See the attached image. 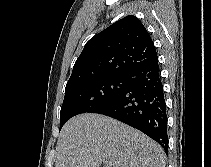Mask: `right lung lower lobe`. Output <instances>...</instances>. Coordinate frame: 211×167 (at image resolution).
Masks as SVG:
<instances>
[{"instance_id": "obj_1", "label": "right lung lower lobe", "mask_w": 211, "mask_h": 167, "mask_svg": "<svg viewBox=\"0 0 211 167\" xmlns=\"http://www.w3.org/2000/svg\"><path fill=\"white\" fill-rule=\"evenodd\" d=\"M125 77V90L93 113L107 115L142 131L167 151L166 104L158 59Z\"/></svg>"}]
</instances>
